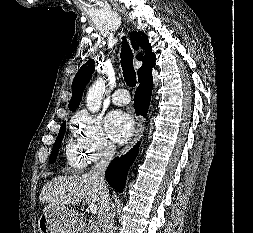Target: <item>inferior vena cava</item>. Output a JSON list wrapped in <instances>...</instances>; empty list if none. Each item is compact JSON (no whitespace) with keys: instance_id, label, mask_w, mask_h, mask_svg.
Returning <instances> with one entry per match:
<instances>
[{"instance_id":"1","label":"inferior vena cava","mask_w":253,"mask_h":233,"mask_svg":"<svg viewBox=\"0 0 253 233\" xmlns=\"http://www.w3.org/2000/svg\"><path fill=\"white\" fill-rule=\"evenodd\" d=\"M114 154L115 146L112 143L106 144L100 161L96 163L90 171V174L100 183L101 186L98 204L100 206L101 221L103 222L104 227L103 233H115L114 214L112 212L109 191L104 178L106 168Z\"/></svg>"}]
</instances>
